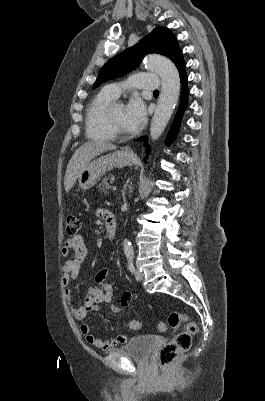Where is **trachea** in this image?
Returning <instances> with one entry per match:
<instances>
[{
    "label": "trachea",
    "instance_id": "obj_1",
    "mask_svg": "<svg viewBox=\"0 0 265 401\" xmlns=\"http://www.w3.org/2000/svg\"><path fill=\"white\" fill-rule=\"evenodd\" d=\"M153 93H159V90H154V92Z\"/></svg>",
    "mask_w": 265,
    "mask_h": 401
}]
</instances>
